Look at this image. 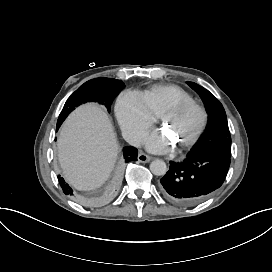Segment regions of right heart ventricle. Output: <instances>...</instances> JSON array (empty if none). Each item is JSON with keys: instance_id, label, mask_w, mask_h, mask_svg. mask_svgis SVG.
Segmentation results:
<instances>
[{"instance_id": "e07e8e85", "label": "right heart ventricle", "mask_w": 272, "mask_h": 272, "mask_svg": "<svg viewBox=\"0 0 272 272\" xmlns=\"http://www.w3.org/2000/svg\"><path fill=\"white\" fill-rule=\"evenodd\" d=\"M144 97L156 115L162 114L163 110L173 101L192 102V98L175 85L153 87L144 93Z\"/></svg>"}]
</instances>
